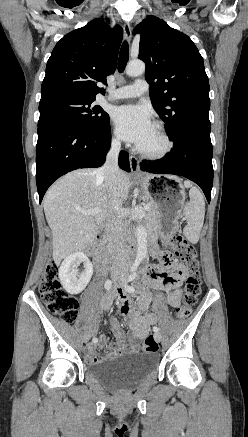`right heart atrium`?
Instances as JSON below:
<instances>
[{
	"mask_svg": "<svg viewBox=\"0 0 248 437\" xmlns=\"http://www.w3.org/2000/svg\"><path fill=\"white\" fill-rule=\"evenodd\" d=\"M111 143L114 146H118L120 144V139H119V137L117 136L116 133H112V135H111Z\"/></svg>",
	"mask_w": 248,
	"mask_h": 437,
	"instance_id": "obj_1",
	"label": "right heart atrium"
}]
</instances>
